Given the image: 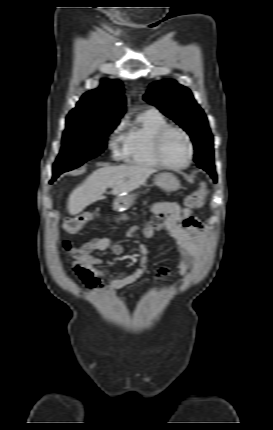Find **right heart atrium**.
<instances>
[{
	"mask_svg": "<svg viewBox=\"0 0 273 430\" xmlns=\"http://www.w3.org/2000/svg\"><path fill=\"white\" fill-rule=\"evenodd\" d=\"M123 128V124L120 123L113 131L108 146L111 151V154L115 158L123 157L124 153V136L121 134V130Z\"/></svg>",
	"mask_w": 273,
	"mask_h": 430,
	"instance_id": "right-heart-atrium-1",
	"label": "right heart atrium"
}]
</instances>
